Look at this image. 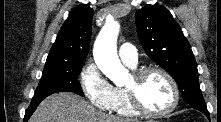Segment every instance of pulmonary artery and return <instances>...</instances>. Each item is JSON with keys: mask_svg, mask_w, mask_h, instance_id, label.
<instances>
[{"mask_svg": "<svg viewBox=\"0 0 221 122\" xmlns=\"http://www.w3.org/2000/svg\"><path fill=\"white\" fill-rule=\"evenodd\" d=\"M121 60L128 66L135 67L138 64L137 49L131 43H124L119 48Z\"/></svg>", "mask_w": 221, "mask_h": 122, "instance_id": "obj_1", "label": "pulmonary artery"}]
</instances>
